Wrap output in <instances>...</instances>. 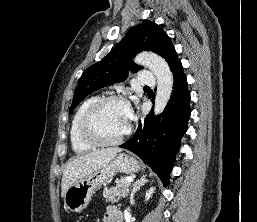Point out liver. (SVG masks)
Listing matches in <instances>:
<instances>
[{"label":"liver","mask_w":257,"mask_h":222,"mask_svg":"<svg viewBox=\"0 0 257 222\" xmlns=\"http://www.w3.org/2000/svg\"><path fill=\"white\" fill-rule=\"evenodd\" d=\"M119 152H121L119 148L101 149L68 161L63 171L61 196H65L70 185L106 165Z\"/></svg>","instance_id":"1"}]
</instances>
